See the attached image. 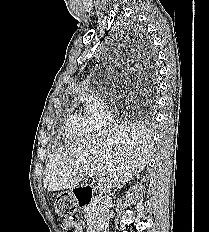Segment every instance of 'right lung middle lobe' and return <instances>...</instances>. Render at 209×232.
<instances>
[{"label": "right lung middle lobe", "instance_id": "right-lung-middle-lobe-1", "mask_svg": "<svg viewBox=\"0 0 209 232\" xmlns=\"http://www.w3.org/2000/svg\"><path fill=\"white\" fill-rule=\"evenodd\" d=\"M152 119H153V114H152L151 110H149L147 113V120L149 121V123H151Z\"/></svg>", "mask_w": 209, "mask_h": 232}]
</instances>
